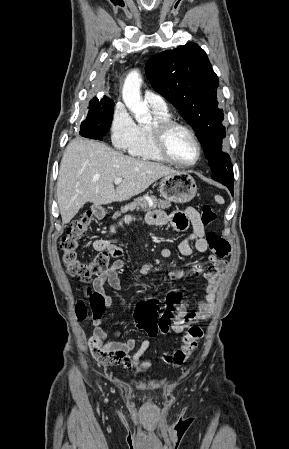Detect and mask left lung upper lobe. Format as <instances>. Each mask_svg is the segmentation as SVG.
Here are the masks:
<instances>
[{
	"label": "left lung upper lobe",
	"mask_w": 289,
	"mask_h": 449,
	"mask_svg": "<svg viewBox=\"0 0 289 449\" xmlns=\"http://www.w3.org/2000/svg\"><path fill=\"white\" fill-rule=\"evenodd\" d=\"M152 87L172 103L196 132L213 172L221 183L233 181L230 157L222 151L226 136L223 111L217 108L218 77L205 51L195 43L151 57L145 66Z\"/></svg>",
	"instance_id": "5c2ea615"
}]
</instances>
